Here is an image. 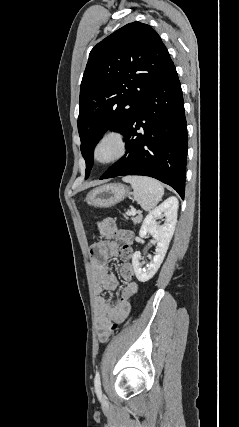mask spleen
Masks as SVG:
<instances>
[{"label":"spleen","mask_w":239,"mask_h":427,"mask_svg":"<svg viewBox=\"0 0 239 427\" xmlns=\"http://www.w3.org/2000/svg\"><path fill=\"white\" fill-rule=\"evenodd\" d=\"M123 181L131 184L134 191V199L146 211L153 209L164 195L162 184L153 178L126 176L123 178Z\"/></svg>","instance_id":"spleen-1"}]
</instances>
